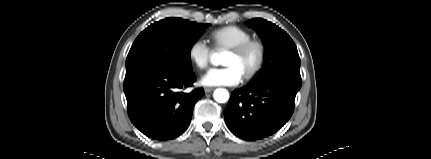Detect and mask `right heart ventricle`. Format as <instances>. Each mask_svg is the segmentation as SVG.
<instances>
[{
    "instance_id": "right-heart-ventricle-1",
    "label": "right heart ventricle",
    "mask_w": 431,
    "mask_h": 159,
    "mask_svg": "<svg viewBox=\"0 0 431 159\" xmlns=\"http://www.w3.org/2000/svg\"><path fill=\"white\" fill-rule=\"evenodd\" d=\"M214 45L219 49H230L252 39L249 31L238 26H225L211 33Z\"/></svg>"
}]
</instances>
